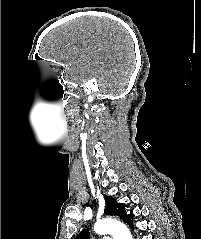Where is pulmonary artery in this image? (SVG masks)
<instances>
[{
  "mask_svg": "<svg viewBox=\"0 0 201 239\" xmlns=\"http://www.w3.org/2000/svg\"><path fill=\"white\" fill-rule=\"evenodd\" d=\"M100 239H112L110 236H102Z\"/></svg>",
  "mask_w": 201,
  "mask_h": 239,
  "instance_id": "obj_1",
  "label": "pulmonary artery"
}]
</instances>
